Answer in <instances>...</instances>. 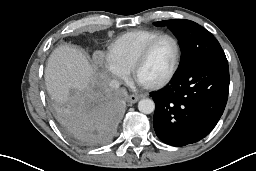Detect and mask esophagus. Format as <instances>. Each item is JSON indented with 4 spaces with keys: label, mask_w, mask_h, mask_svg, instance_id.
<instances>
[{
    "label": "esophagus",
    "mask_w": 256,
    "mask_h": 171,
    "mask_svg": "<svg viewBox=\"0 0 256 171\" xmlns=\"http://www.w3.org/2000/svg\"><path fill=\"white\" fill-rule=\"evenodd\" d=\"M139 99H140V96L132 94L128 96L127 101L130 104H135L136 102L139 101Z\"/></svg>",
    "instance_id": "34e87169"
}]
</instances>
